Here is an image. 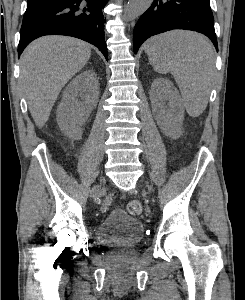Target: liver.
Instances as JSON below:
<instances>
[{"mask_svg":"<svg viewBox=\"0 0 245 300\" xmlns=\"http://www.w3.org/2000/svg\"><path fill=\"white\" fill-rule=\"evenodd\" d=\"M90 56L89 44L66 36L41 37L26 47L20 58V83L39 128L47 122L62 88Z\"/></svg>","mask_w":245,"mask_h":300,"instance_id":"liver-1","label":"liver"}]
</instances>
